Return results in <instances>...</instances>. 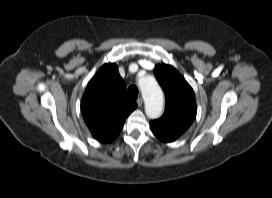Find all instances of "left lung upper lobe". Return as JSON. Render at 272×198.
<instances>
[{"mask_svg": "<svg viewBox=\"0 0 272 198\" xmlns=\"http://www.w3.org/2000/svg\"><path fill=\"white\" fill-rule=\"evenodd\" d=\"M154 74L165 92V112L150 126L175 137L184 133L196 116V101L193 89L177 70L166 64L157 65Z\"/></svg>", "mask_w": 272, "mask_h": 198, "instance_id": "left-lung-upper-lobe-1", "label": "left lung upper lobe"}]
</instances>
